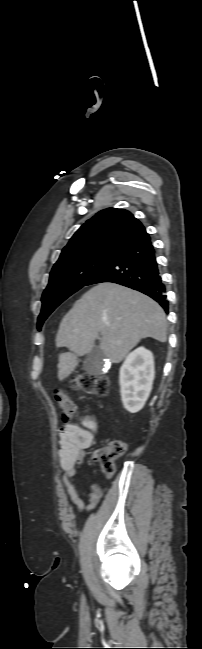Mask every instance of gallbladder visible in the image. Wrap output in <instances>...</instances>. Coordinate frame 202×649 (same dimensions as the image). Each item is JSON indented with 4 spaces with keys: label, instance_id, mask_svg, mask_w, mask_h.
Wrapping results in <instances>:
<instances>
[{
    "label": "gallbladder",
    "instance_id": "1",
    "mask_svg": "<svg viewBox=\"0 0 202 649\" xmlns=\"http://www.w3.org/2000/svg\"><path fill=\"white\" fill-rule=\"evenodd\" d=\"M103 359V351L101 350L99 345H95L93 349L85 356L83 362L84 370L91 375L101 374L103 368Z\"/></svg>",
    "mask_w": 202,
    "mask_h": 649
}]
</instances>
